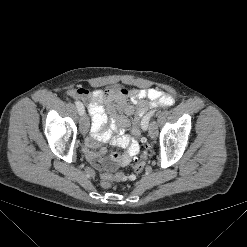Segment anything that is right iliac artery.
<instances>
[{"label": "right iliac artery", "mask_w": 247, "mask_h": 247, "mask_svg": "<svg viewBox=\"0 0 247 247\" xmlns=\"http://www.w3.org/2000/svg\"><path fill=\"white\" fill-rule=\"evenodd\" d=\"M75 104H76L79 114L83 115L85 111L83 104L80 101H76Z\"/></svg>", "instance_id": "obj_1"}]
</instances>
